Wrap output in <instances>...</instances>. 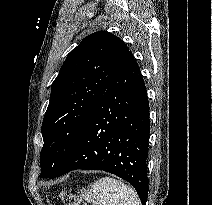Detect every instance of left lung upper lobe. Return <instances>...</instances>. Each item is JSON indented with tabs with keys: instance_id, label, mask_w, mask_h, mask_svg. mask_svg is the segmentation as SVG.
Wrapping results in <instances>:
<instances>
[{
	"instance_id": "obj_1",
	"label": "left lung upper lobe",
	"mask_w": 212,
	"mask_h": 205,
	"mask_svg": "<svg viewBox=\"0 0 212 205\" xmlns=\"http://www.w3.org/2000/svg\"><path fill=\"white\" fill-rule=\"evenodd\" d=\"M128 51L121 39L100 31L87 36L68 54L52 84L42 123L40 177L58 176Z\"/></svg>"
}]
</instances>
